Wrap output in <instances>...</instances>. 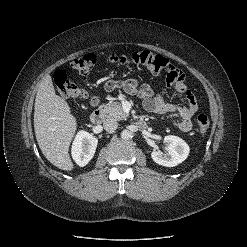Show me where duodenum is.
<instances>
[{
  "mask_svg": "<svg viewBox=\"0 0 247 247\" xmlns=\"http://www.w3.org/2000/svg\"><path fill=\"white\" fill-rule=\"evenodd\" d=\"M104 117H105V113H104L103 109H101V108L95 109L90 115L91 122L94 124L102 123V121L104 120ZM137 126L140 129H146L147 123L141 119V120H138Z\"/></svg>",
  "mask_w": 247,
  "mask_h": 247,
  "instance_id": "410a0bca",
  "label": "duodenum"
}]
</instances>
